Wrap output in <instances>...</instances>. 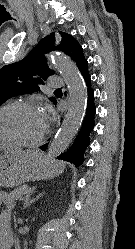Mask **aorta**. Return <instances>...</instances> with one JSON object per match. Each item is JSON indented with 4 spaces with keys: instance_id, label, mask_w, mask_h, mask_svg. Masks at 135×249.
Listing matches in <instances>:
<instances>
[{
    "instance_id": "762f6f07",
    "label": "aorta",
    "mask_w": 135,
    "mask_h": 249,
    "mask_svg": "<svg viewBox=\"0 0 135 249\" xmlns=\"http://www.w3.org/2000/svg\"><path fill=\"white\" fill-rule=\"evenodd\" d=\"M52 61L68 86L69 107L61 127L49 145V160L60 155L69 146L82 124L87 104V89L76 65L58 52L54 53Z\"/></svg>"
}]
</instances>
